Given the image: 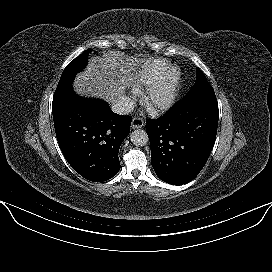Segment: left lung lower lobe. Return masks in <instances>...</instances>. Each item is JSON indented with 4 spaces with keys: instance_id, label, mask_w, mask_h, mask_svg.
<instances>
[{
    "instance_id": "obj_1",
    "label": "left lung lower lobe",
    "mask_w": 272,
    "mask_h": 272,
    "mask_svg": "<svg viewBox=\"0 0 272 272\" xmlns=\"http://www.w3.org/2000/svg\"><path fill=\"white\" fill-rule=\"evenodd\" d=\"M219 118L216 96L181 100L159 119H148L151 163L172 185L192 181L212 151Z\"/></svg>"
}]
</instances>
